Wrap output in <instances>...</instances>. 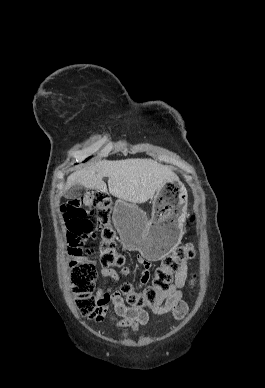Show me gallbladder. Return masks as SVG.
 I'll return each mask as SVG.
<instances>
[{"label":"gallbladder","mask_w":265,"mask_h":388,"mask_svg":"<svg viewBox=\"0 0 265 388\" xmlns=\"http://www.w3.org/2000/svg\"><path fill=\"white\" fill-rule=\"evenodd\" d=\"M84 190H86L84 186H81V184H75V186H72L69 192L65 194V198H67V200H77V198L83 196Z\"/></svg>","instance_id":"gallbladder-1"}]
</instances>
